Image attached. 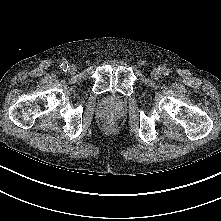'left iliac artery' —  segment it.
<instances>
[{
    "label": "left iliac artery",
    "mask_w": 221,
    "mask_h": 221,
    "mask_svg": "<svg viewBox=\"0 0 221 221\" xmlns=\"http://www.w3.org/2000/svg\"><path fill=\"white\" fill-rule=\"evenodd\" d=\"M168 73H169L168 70H163L164 75H168Z\"/></svg>",
    "instance_id": "44dca946"
}]
</instances>
